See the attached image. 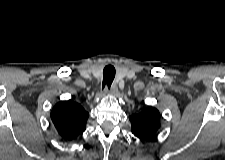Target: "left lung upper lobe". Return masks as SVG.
<instances>
[{
    "instance_id": "obj_1",
    "label": "left lung upper lobe",
    "mask_w": 225,
    "mask_h": 160,
    "mask_svg": "<svg viewBox=\"0 0 225 160\" xmlns=\"http://www.w3.org/2000/svg\"><path fill=\"white\" fill-rule=\"evenodd\" d=\"M132 134L139 140L153 138L160 128V113L154 107H148L139 114L129 117Z\"/></svg>"
}]
</instances>
